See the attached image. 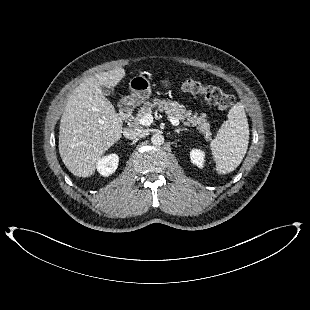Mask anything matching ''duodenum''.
Here are the masks:
<instances>
[{
    "mask_svg": "<svg viewBox=\"0 0 310 310\" xmlns=\"http://www.w3.org/2000/svg\"><path fill=\"white\" fill-rule=\"evenodd\" d=\"M132 113V104L129 99H126L121 102L119 106V115L123 120H126L130 117Z\"/></svg>",
    "mask_w": 310,
    "mask_h": 310,
    "instance_id": "obj_1",
    "label": "duodenum"
}]
</instances>
